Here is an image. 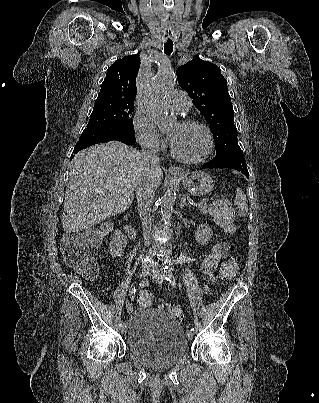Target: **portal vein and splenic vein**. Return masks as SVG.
<instances>
[{
    "label": "portal vein and splenic vein",
    "mask_w": 319,
    "mask_h": 403,
    "mask_svg": "<svg viewBox=\"0 0 319 403\" xmlns=\"http://www.w3.org/2000/svg\"><path fill=\"white\" fill-rule=\"evenodd\" d=\"M206 201H207V200H202V201L196 203L195 206H200L202 203H204V202H206Z\"/></svg>",
    "instance_id": "1"
}]
</instances>
